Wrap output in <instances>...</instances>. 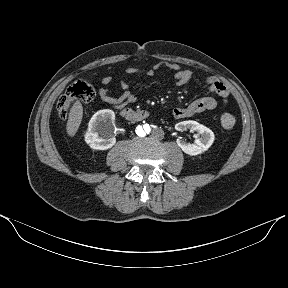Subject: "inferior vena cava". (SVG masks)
<instances>
[{"label":"inferior vena cava","mask_w":288,"mask_h":288,"mask_svg":"<svg viewBox=\"0 0 288 288\" xmlns=\"http://www.w3.org/2000/svg\"><path fill=\"white\" fill-rule=\"evenodd\" d=\"M150 136L153 141L155 142H161L165 138V133L162 128L160 127H154L150 131Z\"/></svg>","instance_id":"1"}]
</instances>
